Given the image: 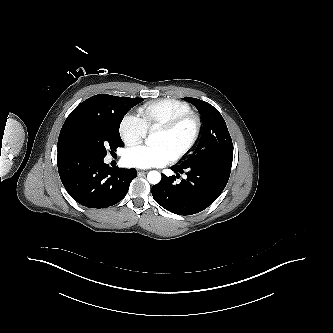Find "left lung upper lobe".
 <instances>
[{
	"label": "left lung upper lobe",
	"mask_w": 333,
	"mask_h": 333,
	"mask_svg": "<svg viewBox=\"0 0 333 333\" xmlns=\"http://www.w3.org/2000/svg\"><path fill=\"white\" fill-rule=\"evenodd\" d=\"M184 100L195 105L198 109L203 128L195 151L186 161L180 164L188 165L209 159L232 161L233 144L231 136L219 111L211 104L196 98H184Z\"/></svg>",
	"instance_id": "1"
}]
</instances>
